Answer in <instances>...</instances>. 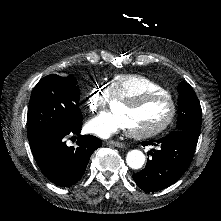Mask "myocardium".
Returning <instances> with one entry per match:
<instances>
[{
    "instance_id": "myocardium-1",
    "label": "myocardium",
    "mask_w": 221,
    "mask_h": 221,
    "mask_svg": "<svg viewBox=\"0 0 221 221\" xmlns=\"http://www.w3.org/2000/svg\"><path fill=\"white\" fill-rule=\"evenodd\" d=\"M124 105L126 108L134 109L137 108L140 110V107H145L147 105H165V113L161 115V117H157L154 120L149 122H138L136 128L129 130L132 135L138 138L147 139V138H155L157 134H159L160 130L165 127L173 117L174 102L171 97L165 93H157L150 96L143 95L140 98L131 97L125 100Z\"/></svg>"
}]
</instances>
